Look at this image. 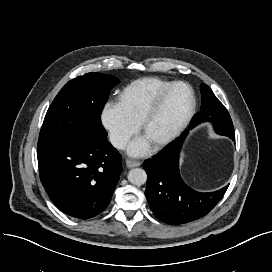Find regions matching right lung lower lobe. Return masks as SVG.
<instances>
[{"mask_svg": "<svg viewBox=\"0 0 272 272\" xmlns=\"http://www.w3.org/2000/svg\"><path fill=\"white\" fill-rule=\"evenodd\" d=\"M37 156L41 182L62 212L88 219L107 207L122 171L107 137L39 140Z\"/></svg>", "mask_w": 272, "mask_h": 272, "instance_id": "right-lung-lower-lobe-1", "label": "right lung lower lobe"}]
</instances>
